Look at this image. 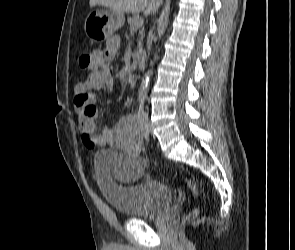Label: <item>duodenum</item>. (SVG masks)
<instances>
[{"mask_svg":"<svg viewBox=\"0 0 295 250\" xmlns=\"http://www.w3.org/2000/svg\"><path fill=\"white\" fill-rule=\"evenodd\" d=\"M136 64L140 70L146 68V55L144 52H138L135 56Z\"/></svg>","mask_w":295,"mask_h":250,"instance_id":"410a0bca","label":"duodenum"}]
</instances>
